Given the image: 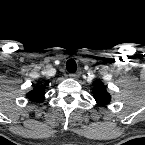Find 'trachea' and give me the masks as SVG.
I'll use <instances>...</instances> for the list:
<instances>
[{"label":"trachea","mask_w":145,"mask_h":145,"mask_svg":"<svg viewBox=\"0 0 145 145\" xmlns=\"http://www.w3.org/2000/svg\"><path fill=\"white\" fill-rule=\"evenodd\" d=\"M66 68H67V71H68V72H70V73H75L76 70H77V64H76L75 60L69 59V60L66 62Z\"/></svg>","instance_id":"1"}]
</instances>
